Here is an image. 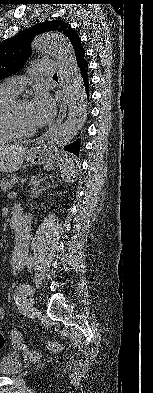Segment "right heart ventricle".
I'll list each match as a JSON object with an SVG mask.
<instances>
[{
	"instance_id": "e07e8e85",
	"label": "right heart ventricle",
	"mask_w": 153,
	"mask_h": 393,
	"mask_svg": "<svg viewBox=\"0 0 153 393\" xmlns=\"http://www.w3.org/2000/svg\"><path fill=\"white\" fill-rule=\"evenodd\" d=\"M16 96L11 90L0 87V144L7 143L14 137L8 124V112Z\"/></svg>"
}]
</instances>
